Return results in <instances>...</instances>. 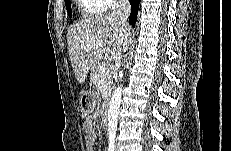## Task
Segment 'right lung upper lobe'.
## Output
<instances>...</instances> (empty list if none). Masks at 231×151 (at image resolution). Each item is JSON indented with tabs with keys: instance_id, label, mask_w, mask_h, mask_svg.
<instances>
[{
	"instance_id": "cb5924a9",
	"label": "right lung upper lobe",
	"mask_w": 231,
	"mask_h": 151,
	"mask_svg": "<svg viewBox=\"0 0 231 151\" xmlns=\"http://www.w3.org/2000/svg\"><path fill=\"white\" fill-rule=\"evenodd\" d=\"M69 0H65V3L68 2Z\"/></svg>"
}]
</instances>
